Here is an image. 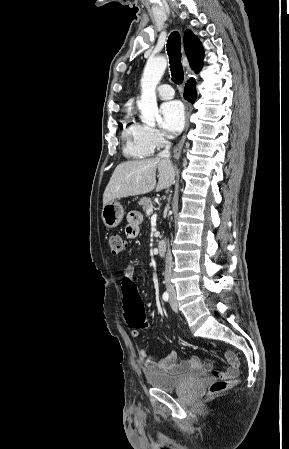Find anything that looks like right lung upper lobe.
I'll return each mask as SVG.
<instances>
[{
	"mask_svg": "<svg viewBox=\"0 0 289 449\" xmlns=\"http://www.w3.org/2000/svg\"><path fill=\"white\" fill-rule=\"evenodd\" d=\"M184 48L192 70L199 73L203 66L204 51L201 42L190 30L184 34Z\"/></svg>",
	"mask_w": 289,
	"mask_h": 449,
	"instance_id": "1",
	"label": "right lung upper lobe"
}]
</instances>
